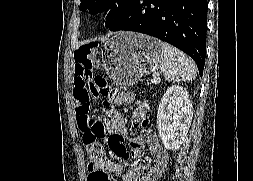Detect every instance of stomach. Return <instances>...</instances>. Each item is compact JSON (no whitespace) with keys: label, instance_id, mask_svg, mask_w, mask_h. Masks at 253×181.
I'll use <instances>...</instances> for the list:
<instances>
[{"label":"stomach","instance_id":"obj_1","mask_svg":"<svg viewBox=\"0 0 253 181\" xmlns=\"http://www.w3.org/2000/svg\"><path fill=\"white\" fill-rule=\"evenodd\" d=\"M101 59L115 84L131 86L161 67V41L144 34L118 32L103 45Z\"/></svg>","mask_w":253,"mask_h":181}]
</instances>
